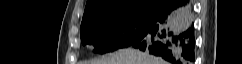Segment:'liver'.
Wrapping results in <instances>:
<instances>
[{"mask_svg":"<svg viewBox=\"0 0 242 64\" xmlns=\"http://www.w3.org/2000/svg\"><path fill=\"white\" fill-rule=\"evenodd\" d=\"M85 64H165V62L148 53L128 48L121 49L107 57H99L89 60Z\"/></svg>","mask_w":242,"mask_h":64,"instance_id":"1","label":"liver"}]
</instances>
